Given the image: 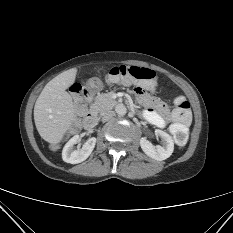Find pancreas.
<instances>
[{"label":"pancreas","mask_w":233,"mask_h":233,"mask_svg":"<svg viewBox=\"0 0 233 233\" xmlns=\"http://www.w3.org/2000/svg\"><path fill=\"white\" fill-rule=\"evenodd\" d=\"M114 92L98 94L90 111L94 115H103L106 111L113 109L117 101L113 99Z\"/></svg>","instance_id":"cf45deb5"}]
</instances>
